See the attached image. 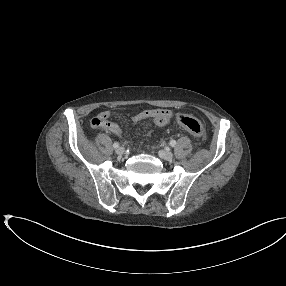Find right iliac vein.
Masks as SVG:
<instances>
[{
  "label": "right iliac vein",
  "mask_w": 286,
  "mask_h": 286,
  "mask_svg": "<svg viewBox=\"0 0 286 286\" xmlns=\"http://www.w3.org/2000/svg\"><path fill=\"white\" fill-rule=\"evenodd\" d=\"M124 152H125V150H124L123 147H118V148L116 149V153H117L118 155H123Z\"/></svg>",
  "instance_id": "63e3f726"
}]
</instances>
